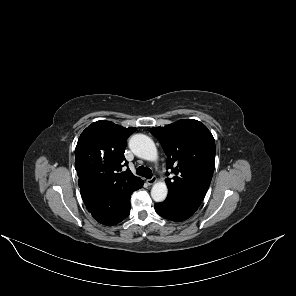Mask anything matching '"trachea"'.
I'll return each mask as SVG.
<instances>
[{
  "label": "trachea",
  "instance_id": "obj_1",
  "mask_svg": "<svg viewBox=\"0 0 296 296\" xmlns=\"http://www.w3.org/2000/svg\"><path fill=\"white\" fill-rule=\"evenodd\" d=\"M136 173L138 175H140V176H143V177L147 178V179H151L152 178V171L148 167L139 166L136 169Z\"/></svg>",
  "mask_w": 296,
  "mask_h": 296
}]
</instances>
